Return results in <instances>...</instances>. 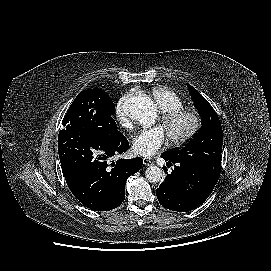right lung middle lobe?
Returning a JSON list of instances; mask_svg holds the SVG:
<instances>
[{
	"label": "right lung middle lobe",
	"mask_w": 271,
	"mask_h": 271,
	"mask_svg": "<svg viewBox=\"0 0 271 271\" xmlns=\"http://www.w3.org/2000/svg\"><path fill=\"white\" fill-rule=\"evenodd\" d=\"M115 105L112 98L101 89L80 92L70 105L62 124L90 134L111 137L118 132L112 115Z\"/></svg>",
	"instance_id": "obj_1"
}]
</instances>
